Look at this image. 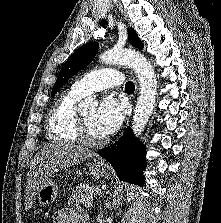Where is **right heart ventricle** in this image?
Listing matches in <instances>:
<instances>
[{
    "label": "right heart ventricle",
    "mask_w": 221,
    "mask_h": 223,
    "mask_svg": "<svg viewBox=\"0 0 221 223\" xmlns=\"http://www.w3.org/2000/svg\"><path fill=\"white\" fill-rule=\"evenodd\" d=\"M81 97L70 89L57 99L48 116L47 136L50 141L65 143L78 141L76 127L79 115L75 105Z\"/></svg>",
    "instance_id": "obj_1"
}]
</instances>
